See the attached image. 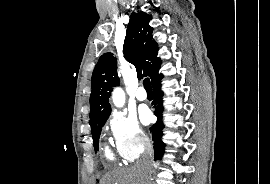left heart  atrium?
I'll use <instances>...</instances> for the list:
<instances>
[{
	"label": "left heart atrium",
	"instance_id": "39dd6f15",
	"mask_svg": "<svg viewBox=\"0 0 270 184\" xmlns=\"http://www.w3.org/2000/svg\"><path fill=\"white\" fill-rule=\"evenodd\" d=\"M141 120L144 124H148L151 121V113L148 110H143L141 113Z\"/></svg>",
	"mask_w": 270,
	"mask_h": 184
}]
</instances>
